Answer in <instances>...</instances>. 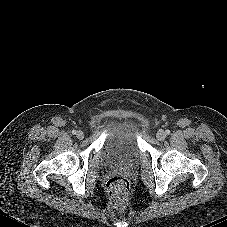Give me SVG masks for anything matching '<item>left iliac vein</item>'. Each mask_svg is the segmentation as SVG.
Instances as JSON below:
<instances>
[{"instance_id":"1","label":"left iliac vein","mask_w":227,"mask_h":227,"mask_svg":"<svg viewBox=\"0 0 227 227\" xmlns=\"http://www.w3.org/2000/svg\"><path fill=\"white\" fill-rule=\"evenodd\" d=\"M158 140H163L166 137V133L163 130H159L156 134Z\"/></svg>"}]
</instances>
